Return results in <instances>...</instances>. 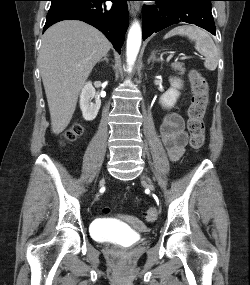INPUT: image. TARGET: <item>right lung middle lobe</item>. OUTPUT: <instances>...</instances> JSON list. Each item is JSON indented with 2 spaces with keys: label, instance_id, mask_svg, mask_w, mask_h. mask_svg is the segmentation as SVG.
Segmentation results:
<instances>
[{
  "label": "right lung middle lobe",
  "instance_id": "1",
  "mask_svg": "<svg viewBox=\"0 0 250 285\" xmlns=\"http://www.w3.org/2000/svg\"><path fill=\"white\" fill-rule=\"evenodd\" d=\"M51 1V6L59 5L62 3H66L69 1H74V0H50Z\"/></svg>",
  "mask_w": 250,
  "mask_h": 285
}]
</instances>
